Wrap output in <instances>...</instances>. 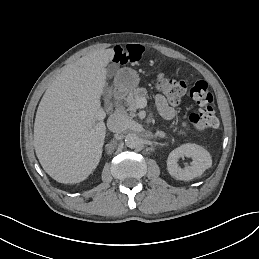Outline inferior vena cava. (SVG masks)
<instances>
[{
	"label": "inferior vena cava",
	"mask_w": 259,
	"mask_h": 259,
	"mask_svg": "<svg viewBox=\"0 0 259 259\" xmlns=\"http://www.w3.org/2000/svg\"><path fill=\"white\" fill-rule=\"evenodd\" d=\"M126 124H127V117L118 113H114L110 115L107 120L108 129L115 133H120L123 130H125Z\"/></svg>",
	"instance_id": "inferior-vena-cava-1"
}]
</instances>
